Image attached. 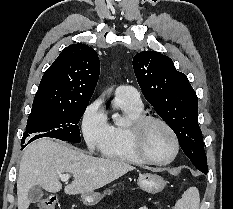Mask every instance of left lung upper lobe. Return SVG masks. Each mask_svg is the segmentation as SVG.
I'll return each mask as SVG.
<instances>
[{"instance_id":"left-lung-upper-lobe-1","label":"left lung upper lobe","mask_w":233,"mask_h":209,"mask_svg":"<svg viewBox=\"0 0 233 209\" xmlns=\"http://www.w3.org/2000/svg\"><path fill=\"white\" fill-rule=\"evenodd\" d=\"M133 68L145 98L175 132L185 155L198 170H206L198 99L186 75L175 69L169 57L155 51L137 53Z\"/></svg>"}]
</instances>
